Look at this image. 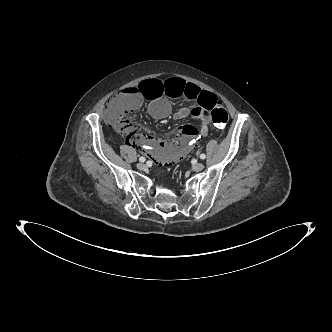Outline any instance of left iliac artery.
I'll list each match as a JSON object with an SVG mask.
<instances>
[{
    "mask_svg": "<svg viewBox=\"0 0 332 332\" xmlns=\"http://www.w3.org/2000/svg\"><path fill=\"white\" fill-rule=\"evenodd\" d=\"M205 158H206V155L202 153V154L200 155V159L204 160Z\"/></svg>",
    "mask_w": 332,
    "mask_h": 332,
    "instance_id": "left-iliac-artery-1",
    "label": "left iliac artery"
}]
</instances>
